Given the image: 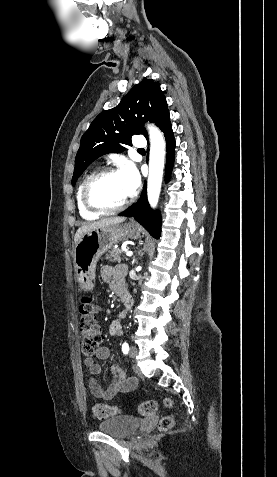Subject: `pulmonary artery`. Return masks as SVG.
Instances as JSON below:
<instances>
[{
  "mask_svg": "<svg viewBox=\"0 0 277 477\" xmlns=\"http://www.w3.org/2000/svg\"><path fill=\"white\" fill-rule=\"evenodd\" d=\"M146 146V141L142 137H137L134 141V147L137 149H142Z\"/></svg>",
  "mask_w": 277,
  "mask_h": 477,
  "instance_id": "obj_1",
  "label": "pulmonary artery"
}]
</instances>
